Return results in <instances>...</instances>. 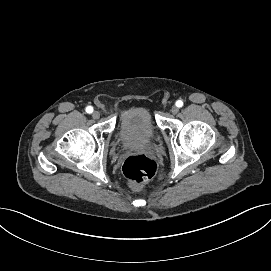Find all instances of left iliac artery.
I'll list each match as a JSON object with an SVG mask.
<instances>
[{"label":"left iliac artery","mask_w":271,"mask_h":271,"mask_svg":"<svg viewBox=\"0 0 271 271\" xmlns=\"http://www.w3.org/2000/svg\"><path fill=\"white\" fill-rule=\"evenodd\" d=\"M176 106H177V107H182V106H183V102H182L181 100H178V101L176 102Z\"/></svg>","instance_id":"left-iliac-artery-1"}]
</instances>
